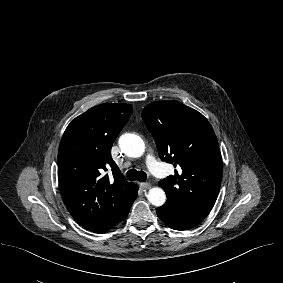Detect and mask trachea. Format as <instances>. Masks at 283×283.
<instances>
[{
    "mask_svg": "<svg viewBox=\"0 0 283 283\" xmlns=\"http://www.w3.org/2000/svg\"><path fill=\"white\" fill-rule=\"evenodd\" d=\"M126 177L130 181H140V182H145L147 179V174L144 171H137L135 169H130L126 173Z\"/></svg>",
    "mask_w": 283,
    "mask_h": 283,
    "instance_id": "trachea-1",
    "label": "trachea"
}]
</instances>
